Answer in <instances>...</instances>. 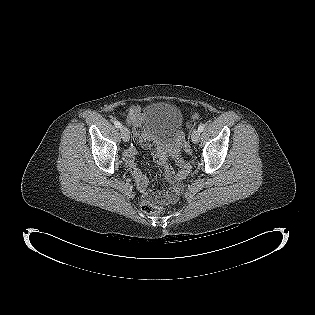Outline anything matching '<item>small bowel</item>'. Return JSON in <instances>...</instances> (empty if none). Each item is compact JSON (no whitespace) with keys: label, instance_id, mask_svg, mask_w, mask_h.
Here are the masks:
<instances>
[{"label":"small bowel","instance_id":"1","mask_svg":"<svg viewBox=\"0 0 315 315\" xmlns=\"http://www.w3.org/2000/svg\"><path fill=\"white\" fill-rule=\"evenodd\" d=\"M126 121L128 124L135 128V139L140 142L146 148L153 151V159L156 163L162 166L165 177L169 179H174L176 177V172L171 170L167 164L170 157L174 156V149L172 148H162L158 147L152 142L141 130L143 110L137 105L131 106L126 115ZM136 150L135 148H129L125 153V162L130 169V172L138 186L139 191L147 196H151L150 181L139 169L137 162L135 160Z\"/></svg>","mask_w":315,"mask_h":315}]
</instances>
